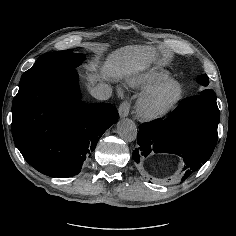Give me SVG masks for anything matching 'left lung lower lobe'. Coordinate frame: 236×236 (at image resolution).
I'll return each instance as SVG.
<instances>
[{
  "mask_svg": "<svg viewBox=\"0 0 236 236\" xmlns=\"http://www.w3.org/2000/svg\"><path fill=\"white\" fill-rule=\"evenodd\" d=\"M219 118L216 98L206 95L185 98L167 119L140 126L133 159L138 163L151 153L175 154L184 161V181L212 155Z\"/></svg>",
  "mask_w": 236,
  "mask_h": 236,
  "instance_id": "0a47b994",
  "label": "left lung lower lobe"
}]
</instances>
